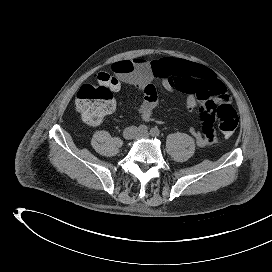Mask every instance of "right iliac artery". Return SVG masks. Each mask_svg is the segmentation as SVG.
Returning <instances> with one entry per match:
<instances>
[{"mask_svg":"<svg viewBox=\"0 0 272 272\" xmlns=\"http://www.w3.org/2000/svg\"><path fill=\"white\" fill-rule=\"evenodd\" d=\"M138 131H139L140 133H147L148 127H147L146 125H140V126L138 127Z\"/></svg>","mask_w":272,"mask_h":272,"instance_id":"right-iliac-artery-1","label":"right iliac artery"}]
</instances>
